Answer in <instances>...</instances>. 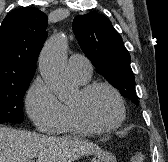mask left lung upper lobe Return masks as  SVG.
Masks as SVG:
<instances>
[{"mask_svg": "<svg viewBox=\"0 0 168 162\" xmlns=\"http://www.w3.org/2000/svg\"><path fill=\"white\" fill-rule=\"evenodd\" d=\"M72 28L82 51L98 73L138 105L130 54L110 20L92 12L75 17Z\"/></svg>", "mask_w": 168, "mask_h": 162, "instance_id": "left-lung-upper-lobe-1", "label": "left lung upper lobe"}]
</instances>
